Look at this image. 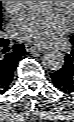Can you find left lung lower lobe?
<instances>
[{
  "instance_id": "left-lung-lower-lobe-1",
  "label": "left lung lower lobe",
  "mask_w": 74,
  "mask_h": 122,
  "mask_svg": "<svg viewBox=\"0 0 74 122\" xmlns=\"http://www.w3.org/2000/svg\"><path fill=\"white\" fill-rule=\"evenodd\" d=\"M73 50L66 54L64 66L51 74L52 82L64 92H74V37H71Z\"/></svg>"
}]
</instances>
